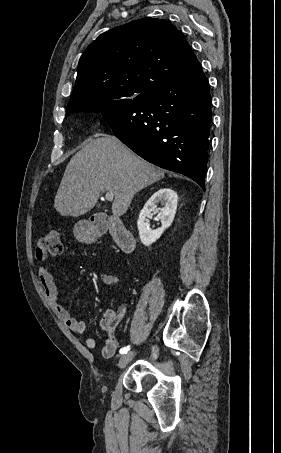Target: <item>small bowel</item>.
<instances>
[{"mask_svg": "<svg viewBox=\"0 0 281 453\" xmlns=\"http://www.w3.org/2000/svg\"><path fill=\"white\" fill-rule=\"evenodd\" d=\"M46 252L43 253V257ZM37 272L41 285L45 290V294L48 298L50 305L57 311L62 320L66 323L67 327L74 333L85 334L86 324L83 320L76 318L71 315L66 305L62 304L54 283L53 275L50 272L49 266L38 265ZM119 281L118 277L111 274H104L102 276V283L104 285H115ZM128 312L125 306L120 308V312L112 309H108L104 312V315L98 322V329L105 331L107 336L102 349V357L104 359H111L115 356L120 345L119 341L114 334V329L120 322L121 318L127 317ZM84 342L86 347L94 349L97 346V340L94 336H85Z\"/></svg>", "mask_w": 281, "mask_h": 453, "instance_id": "1", "label": "small bowel"}]
</instances>
